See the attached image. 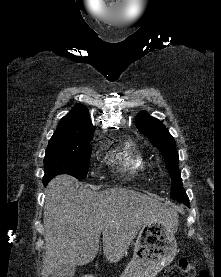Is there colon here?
<instances>
[{"mask_svg":"<svg viewBox=\"0 0 221 277\" xmlns=\"http://www.w3.org/2000/svg\"><path fill=\"white\" fill-rule=\"evenodd\" d=\"M196 271L193 263L186 258L179 260L177 264L168 267L163 277H195ZM197 277H209L206 271H201Z\"/></svg>","mask_w":221,"mask_h":277,"instance_id":"5ec220e1","label":"colon"}]
</instances>
